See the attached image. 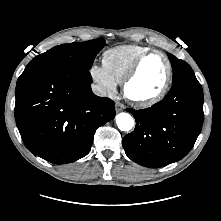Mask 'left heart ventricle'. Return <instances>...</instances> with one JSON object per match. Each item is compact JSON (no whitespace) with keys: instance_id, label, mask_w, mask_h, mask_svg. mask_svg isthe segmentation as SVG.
I'll list each match as a JSON object with an SVG mask.
<instances>
[{"instance_id":"obj_1","label":"left heart ventricle","mask_w":221,"mask_h":221,"mask_svg":"<svg viewBox=\"0 0 221 221\" xmlns=\"http://www.w3.org/2000/svg\"><path fill=\"white\" fill-rule=\"evenodd\" d=\"M166 73L167 65L161 55L148 56L129 85V93L136 98H147L156 94L165 81Z\"/></svg>"}]
</instances>
